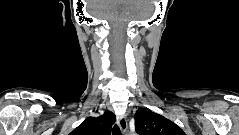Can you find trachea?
Here are the masks:
<instances>
[{
	"label": "trachea",
	"instance_id": "3493384b",
	"mask_svg": "<svg viewBox=\"0 0 239 135\" xmlns=\"http://www.w3.org/2000/svg\"><path fill=\"white\" fill-rule=\"evenodd\" d=\"M112 134L113 135H121L120 128L117 125L114 126Z\"/></svg>",
	"mask_w": 239,
	"mask_h": 135
}]
</instances>
